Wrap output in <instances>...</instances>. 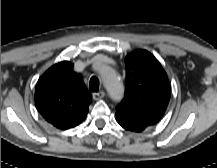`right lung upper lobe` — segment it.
<instances>
[{
  "mask_svg": "<svg viewBox=\"0 0 217 168\" xmlns=\"http://www.w3.org/2000/svg\"><path fill=\"white\" fill-rule=\"evenodd\" d=\"M91 94L85 89L73 64L62 61L49 68L38 80L35 104L46 121L59 129L80 124L88 113Z\"/></svg>",
  "mask_w": 217,
  "mask_h": 168,
  "instance_id": "obj_1",
  "label": "right lung upper lobe"
}]
</instances>
